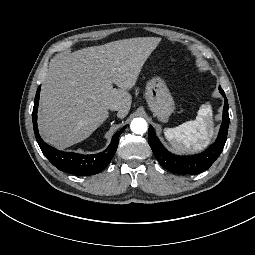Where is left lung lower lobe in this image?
Listing matches in <instances>:
<instances>
[{
	"label": "left lung lower lobe",
	"instance_id": "1",
	"mask_svg": "<svg viewBox=\"0 0 255 255\" xmlns=\"http://www.w3.org/2000/svg\"><path fill=\"white\" fill-rule=\"evenodd\" d=\"M219 90L225 98V104L223 109V121L221 124L219 135L214 144H212L204 152L192 155V156H176L168 152L156 137L153 128L150 126L148 130L149 145L159 161L160 165L174 174H190L196 175L206 169H208L213 162L221 154L226 139L229 127V115H228V102L224 91L219 87Z\"/></svg>",
	"mask_w": 255,
	"mask_h": 255
}]
</instances>
